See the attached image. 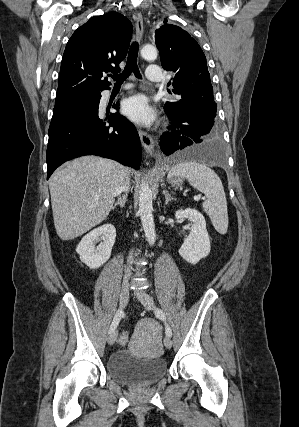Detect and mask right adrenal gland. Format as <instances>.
<instances>
[{"instance_id":"2a0ac1e0","label":"right adrenal gland","mask_w":299,"mask_h":427,"mask_svg":"<svg viewBox=\"0 0 299 427\" xmlns=\"http://www.w3.org/2000/svg\"><path fill=\"white\" fill-rule=\"evenodd\" d=\"M126 199H127V195L126 194H123L122 196H119L117 202H115L114 205L112 206V209L116 208V206H118V205L121 208H124L125 207Z\"/></svg>"}]
</instances>
